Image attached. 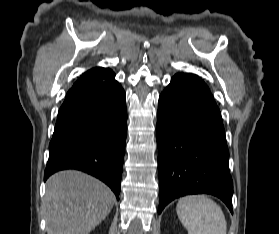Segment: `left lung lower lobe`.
Returning <instances> with one entry per match:
<instances>
[{"label":"left lung lower lobe","mask_w":279,"mask_h":234,"mask_svg":"<svg viewBox=\"0 0 279 234\" xmlns=\"http://www.w3.org/2000/svg\"><path fill=\"white\" fill-rule=\"evenodd\" d=\"M159 208L180 196L208 193L232 211L221 113L207 85L196 75L178 73L159 97L157 114Z\"/></svg>","instance_id":"obj_1"}]
</instances>
